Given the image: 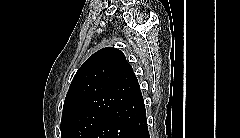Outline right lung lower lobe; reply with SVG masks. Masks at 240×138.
I'll return each mask as SVG.
<instances>
[{
    "mask_svg": "<svg viewBox=\"0 0 240 138\" xmlns=\"http://www.w3.org/2000/svg\"><path fill=\"white\" fill-rule=\"evenodd\" d=\"M86 138H149L142 94L109 112Z\"/></svg>",
    "mask_w": 240,
    "mask_h": 138,
    "instance_id": "98d812e1",
    "label": "right lung lower lobe"
}]
</instances>
